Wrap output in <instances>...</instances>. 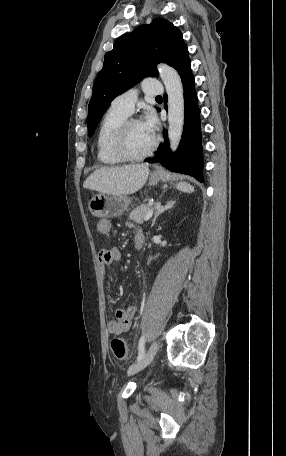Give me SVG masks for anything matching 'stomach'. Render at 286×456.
I'll use <instances>...</instances> for the list:
<instances>
[{
    "label": "stomach",
    "instance_id": "obj_1",
    "mask_svg": "<svg viewBox=\"0 0 286 456\" xmlns=\"http://www.w3.org/2000/svg\"><path fill=\"white\" fill-rule=\"evenodd\" d=\"M161 176L152 173L149 185H157ZM131 198L126 195L98 194L91 198L88 204L90 213L95 217L113 218L121 216L129 207Z\"/></svg>",
    "mask_w": 286,
    "mask_h": 456
}]
</instances>
